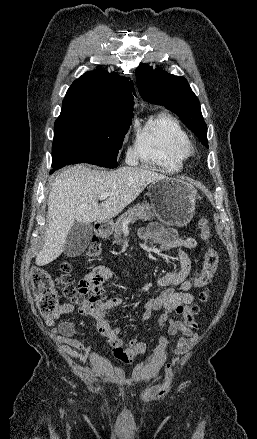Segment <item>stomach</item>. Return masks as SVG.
I'll use <instances>...</instances> for the list:
<instances>
[{
	"instance_id": "0dacf381",
	"label": "stomach",
	"mask_w": 257,
	"mask_h": 439,
	"mask_svg": "<svg viewBox=\"0 0 257 439\" xmlns=\"http://www.w3.org/2000/svg\"><path fill=\"white\" fill-rule=\"evenodd\" d=\"M148 191L152 208L160 220L184 226L193 218L197 190L188 181L166 177L151 183Z\"/></svg>"
}]
</instances>
